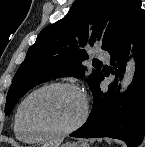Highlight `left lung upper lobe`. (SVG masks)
<instances>
[{
  "label": "left lung upper lobe",
  "instance_id": "1",
  "mask_svg": "<svg viewBox=\"0 0 145 147\" xmlns=\"http://www.w3.org/2000/svg\"><path fill=\"white\" fill-rule=\"evenodd\" d=\"M131 0H75L68 14L44 28L18 68L9 88L5 115L38 84L57 77L84 74L85 48L100 42L108 50L119 33ZM103 72L93 69L88 84L93 90Z\"/></svg>",
  "mask_w": 145,
  "mask_h": 147
}]
</instances>
